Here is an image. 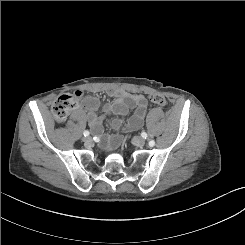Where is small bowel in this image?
Wrapping results in <instances>:
<instances>
[{
  "label": "small bowel",
  "mask_w": 245,
  "mask_h": 245,
  "mask_svg": "<svg viewBox=\"0 0 245 245\" xmlns=\"http://www.w3.org/2000/svg\"><path fill=\"white\" fill-rule=\"evenodd\" d=\"M83 96V91L78 90ZM107 95L113 98L112 102L106 103L103 107V113L97 114L98 101L94 97H86L83 100V107L87 110V119L94 134L100 136L103 133V123L106 117L115 115L112 121V128L117 130L122 127V118L125 117L130 109H134V114L127 123L129 130H136L144 123L145 115L148 109V102L141 94L130 93L125 90L111 88L107 90ZM109 143V137H105L103 144Z\"/></svg>",
  "instance_id": "1"
}]
</instances>
